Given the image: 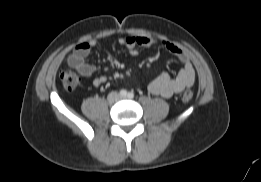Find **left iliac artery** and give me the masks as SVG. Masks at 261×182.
I'll use <instances>...</instances> for the list:
<instances>
[{
    "instance_id": "obj_1",
    "label": "left iliac artery",
    "mask_w": 261,
    "mask_h": 182,
    "mask_svg": "<svg viewBox=\"0 0 261 182\" xmlns=\"http://www.w3.org/2000/svg\"><path fill=\"white\" fill-rule=\"evenodd\" d=\"M127 97H128L129 99L134 98V93H133V92H129V93L127 94Z\"/></svg>"
}]
</instances>
